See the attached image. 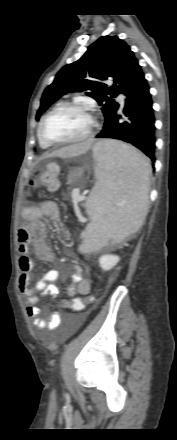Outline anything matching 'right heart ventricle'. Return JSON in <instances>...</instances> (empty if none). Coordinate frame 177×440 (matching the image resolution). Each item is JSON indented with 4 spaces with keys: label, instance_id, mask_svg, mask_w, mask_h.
I'll list each match as a JSON object with an SVG mask.
<instances>
[{
    "label": "right heart ventricle",
    "instance_id": "1",
    "mask_svg": "<svg viewBox=\"0 0 177 440\" xmlns=\"http://www.w3.org/2000/svg\"><path fill=\"white\" fill-rule=\"evenodd\" d=\"M62 103H64L63 101H59V102H57L52 108H51V110L53 109V108H55V107H57L58 105H60V104H62ZM50 110V111H51ZM46 116V115H45ZM44 116V117H45ZM41 124V123H40ZM40 127V126H39ZM38 138H39V143H40V145H41V147L42 148H48L50 145L49 144H47L46 142H44L42 139H41V137L39 136V129H38Z\"/></svg>",
    "mask_w": 177,
    "mask_h": 440
}]
</instances>
